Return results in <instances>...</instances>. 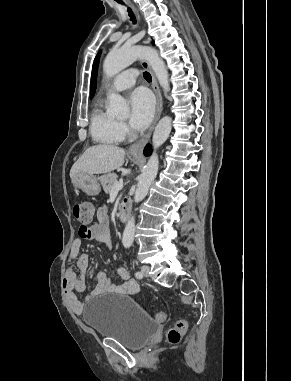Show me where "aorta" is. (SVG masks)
Wrapping results in <instances>:
<instances>
[{
  "mask_svg": "<svg viewBox=\"0 0 291 381\" xmlns=\"http://www.w3.org/2000/svg\"><path fill=\"white\" fill-rule=\"evenodd\" d=\"M137 59H145L148 61L155 76L165 91H169L168 71L163 60L160 58L156 49L147 46H131L122 47L118 50H111L103 64V71L108 77H113L120 71L128 67ZM109 106L107 113L111 116L126 117L129 114V109L125 99L115 93L108 96ZM172 128V119L169 116L163 117L157 124L153 133L152 145L153 153L150 156L145 169L137 184L136 192L134 195L135 203L142 201L148 194L149 187L155 179L159 159L157 149L167 140ZM135 234V217L132 216L127 222L124 232L122 243L125 248H129L134 240Z\"/></svg>",
  "mask_w": 291,
  "mask_h": 381,
  "instance_id": "obj_1",
  "label": "aorta"
}]
</instances>
